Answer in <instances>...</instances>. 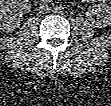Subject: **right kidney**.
<instances>
[{"label":"right kidney","mask_w":111,"mask_h":106,"mask_svg":"<svg viewBox=\"0 0 111 106\" xmlns=\"http://www.w3.org/2000/svg\"><path fill=\"white\" fill-rule=\"evenodd\" d=\"M1 7V27L4 30H11L20 26L22 13L28 12L30 6L27 0H2Z\"/></svg>","instance_id":"1"}]
</instances>
